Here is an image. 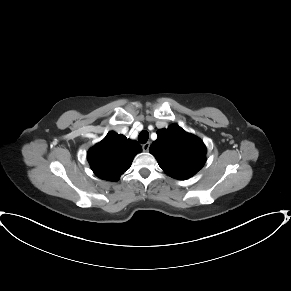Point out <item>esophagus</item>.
Masks as SVG:
<instances>
[{
  "label": "esophagus",
  "instance_id": "esophagus-1",
  "mask_svg": "<svg viewBox=\"0 0 291 291\" xmlns=\"http://www.w3.org/2000/svg\"><path fill=\"white\" fill-rule=\"evenodd\" d=\"M149 147H150V143H149V142L145 143V144L142 146L143 151H144V152H148V151H149Z\"/></svg>",
  "mask_w": 291,
  "mask_h": 291
}]
</instances>
